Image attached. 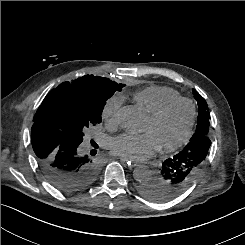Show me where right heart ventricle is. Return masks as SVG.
Returning <instances> with one entry per match:
<instances>
[{"mask_svg":"<svg viewBox=\"0 0 245 245\" xmlns=\"http://www.w3.org/2000/svg\"><path fill=\"white\" fill-rule=\"evenodd\" d=\"M179 97L181 96L176 90L162 86H149L135 94L137 102L149 114L156 111L166 102Z\"/></svg>","mask_w":245,"mask_h":245,"instance_id":"right-heart-ventricle-1","label":"right heart ventricle"}]
</instances>
